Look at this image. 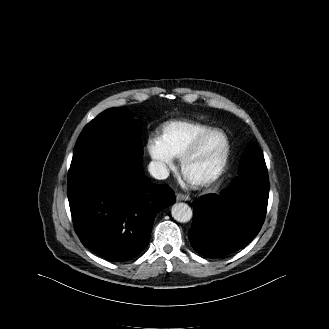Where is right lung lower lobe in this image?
Returning <instances> with one entry per match:
<instances>
[{
    "mask_svg": "<svg viewBox=\"0 0 329 329\" xmlns=\"http://www.w3.org/2000/svg\"><path fill=\"white\" fill-rule=\"evenodd\" d=\"M67 194L82 244L116 262L148 245L156 214L175 202L173 190L151 183L142 167L105 158L69 173Z\"/></svg>",
    "mask_w": 329,
    "mask_h": 329,
    "instance_id": "1",
    "label": "right lung lower lobe"
}]
</instances>
